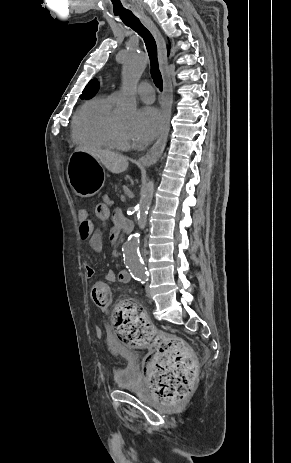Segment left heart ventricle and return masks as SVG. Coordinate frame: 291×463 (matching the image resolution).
<instances>
[{"instance_id": "b2bd125f", "label": "left heart ventricle", "mask_w": 291, "mask_h": 463, "mask_svg": "<svg viewBox=\"0 0 291 463\" xmlns=\"http://www.w3.org/2000/svg\"><path fill=\"white\" fill-rule=\"evenodd\" d=\"M118 124L120 125V127L125 130V131H129L130 130V127L131 125L127 122H124V121H118Z\"/></svg>"}]
</instances>
